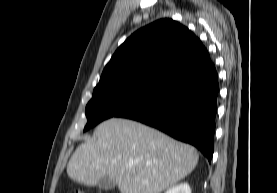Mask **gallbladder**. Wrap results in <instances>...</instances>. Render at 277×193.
<instances>
[{
    "label": "gallbladder",
    "instance_id": "1",
    "mask_svg": "<svg viewBox=\"0 0 277 193\" xmlns=\"http://www.w3.org/2000/svg\"><path fill=\"white\" fill-rule=\"evenodd\" d=\"M97 185L101 190L107 191V190L114 189L116 186V183L112 179H110L108 176H104L99 180Z\"/></svg>",
    "mask_w": 277,
    "mask_h": 193
}]
</instances>
